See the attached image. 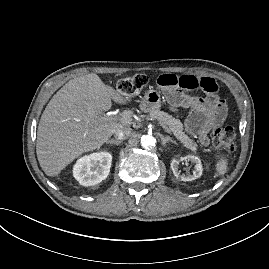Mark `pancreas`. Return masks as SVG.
<instances>
[{
	"label": "pancreas",
	"mask_w": 269,
	"mask_h": 269,
	"mask_svg": "<svg viewBox=\"0 0 269 269\" xmlns=\"http://www.w3.org/2000/svg\"><path fill=\"white\" fill-rule=\"evenodd\" d=\"M150 117L159 121L160 124H163L166 127L167 132L172 133L184 147L194 152L197 150V144L185 134L183 131V124L179 119H175L171 115L160 110L152 111Z\"/></svg>",
	"instance_id": "1"
}]
</instances>
